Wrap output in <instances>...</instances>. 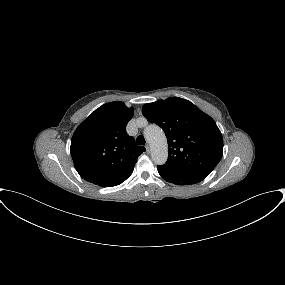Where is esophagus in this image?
Returning a JSON list of instances; mask_svg holds the SVG:
<instances>
[{"mask_svg": "<svg viewBox=\"0 0 285 285\" xmlns=\"http://www.w3.org/2000/svg\"><path fill=\"white\" fill-rule=\"evenodd\" d=\"M145 148H146V152L149 153V152H150V146L147 144V145L145 146Z\"/></svg>", "mask_w": 285, "mask_h": 285, "instance_id": "esophagus-1", "label": "esophagus"}]
</instances>
